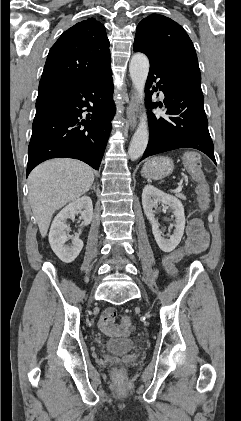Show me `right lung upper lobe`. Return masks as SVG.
Returning <instances> with one entry per match:
<instances>
[{"label":"right lung upper lobe","mask_w":241,"mask_h":421,"mask_svg":"<svg viewBox=\"0 0 241 421\" xmlns=\"http://www.w3.org/2000/svg\"><path fill=\"white\" fill-rule=\"evenodd\" d=\"M109 40L102 23L90 18L65 31L49 51L39 93L90 80L110 68Z\"/></svg>","instance_id":"obj_1"}]
</instances>
